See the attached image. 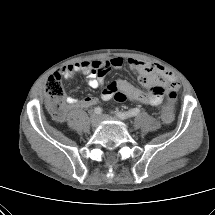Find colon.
I'll return each instance as SVG.
<instances>
[{"label": "colon", "mask_w": 215, "mask_h": 215, "mask_svg": "<svg viewBox=\"0 0 215 215\" xmlns=\"http://www.w3.org/2000/svg\"><path fill=\"white\" fill-rule=\"evenodd\" d=\"M156 91L159 92L160 89L157 88ZM45 92L47 95L50 111L54 116L60 117L64 110L63 100L65 91L59 74H53L48 78L45 86ZM176 95L175 89L167 90L166 103L163 107V110L160 112V115L158 116V121L162 125H169L173 121L174 114L171 111V108L176 99Z\"/></svg>", "instance_id": "obj_1"}]
</instances>
